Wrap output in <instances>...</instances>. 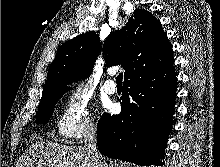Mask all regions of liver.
Masks as SVG:
<instances>
[{
  "mask_svg": "<svg viewBox=\"0 0 220 167\" xmlns=\"http://www.w3.org/2000/svg\"><path fill=\"white\" fill-rule=\"evenodd\" d=\"M16 167H95V164L82 146L41 141L25 152Z\"/></svg>",
  "mask_w": 220,
  "mask_h": 167,
  "instance_id": "1",
  "label": "liver"
}]
</instances>
